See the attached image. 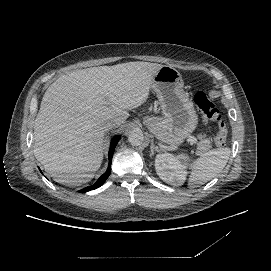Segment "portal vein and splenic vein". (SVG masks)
<instances>
[{"label": "portal vein and splenic vein", "mask_w": 271, "mask_h": 271, "mask_svg": "<svg viewBox=\"0 0 271 271\" xmlns=\"http://www.w3.org/2000/svg\"><path fill=\"white\" fill-rule=\"evenodd\" d=\"M187 142H188V144L195 146L197 144V139L194 136H190V137H188Z\"/></svg>", "instance_id": "18ae733b"}]
</instances>
